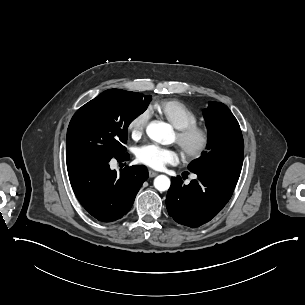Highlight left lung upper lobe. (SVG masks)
Returning <instances> with one entry per match:
<instances>
[{
	"label": "left lung upper lobe",
	"instance_id": "left-lung-upper-lobe-1",
	"mask_svg": "<svg viewBox=\"0 0 305 305\" xmlns=\"http://www.w3.org/2000/svg\"><path fill=\"white\" fill-rule=\"evenodd\" d=\"M208 128V151L192 161L189 169L232 168L241 170L244 142L238 121L220 102H209L204 110Z\"/></svg>",
	"mask_w": 305,
	"mask_h": 305
}]
</instances>
